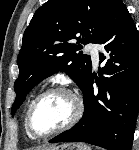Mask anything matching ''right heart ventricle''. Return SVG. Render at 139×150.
<instances>
[{"instance_id":"1","label":"right heart ventricle","mask_w":139,"mask_h":150,"mask_svg":"<svg viewBox=\"0 0 139 150\" xmlns=\"http://www.w3.org/2000/svg\"><path fill=\"white\" fill-rule=\"evenodd\" d=\"M31 102H32V100L30 101V103H29V105H28V107H27L26 113H25V118H24V120H25V127H26V115H27V111H28V109H29V106H30ZM26 131H27V134H28V136H29L30 138H34V137L31 136V134L28 132L27 127H26Z\"/></svg>"}]
</instances>
